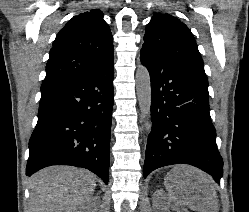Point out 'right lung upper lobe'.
I'll list each match as a JSON object with an SVG mask.
<instances>
[{
    "mask_svg": "<svg viewBox=\"0 0 249 212\" xmlns=\"http://www.w3.org/2000/svg\"><path fill=\"white\" fill-rule=\"evenodd\" d=\"M113 59V37L103 13H81L57 34L41 89L88 75Z\"/></svg>",
    "mask_w": 249,
    "mask_h": 212,
    "instance_id": "cb5924a9",
    "label": "right lung upper lobe"
}]
</instances>
